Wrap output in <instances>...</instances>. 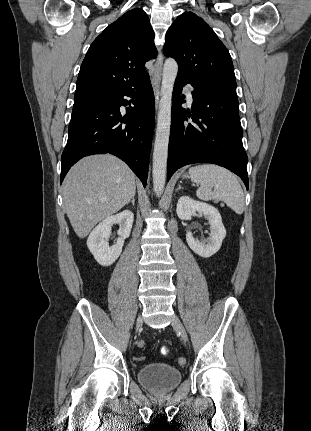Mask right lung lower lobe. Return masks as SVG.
I'll list each match as a JSON object with an SVG mask.
<instances>
[{
    "instance_id": "obj_1",
    "label": "right lung lower lobe",
    "mask_w": 311,
    "mask_h": 431,
    "mask_svg": "<svg viewBox=\"0 0 311 431\" xmlns=\"http://www.w3.org/2000/svg\"><path fill=\"white\" fill-rule=\"evenodd\" d=\"M125 95L135 98V106L127 107L122 117L120 106L128 105ZM154 116L155 100L148 74L137 84L116 92L75 99L62 153L60 183L82 157L111 153L126 162L145 187Z\"/></svg>"
}]
</instances>
